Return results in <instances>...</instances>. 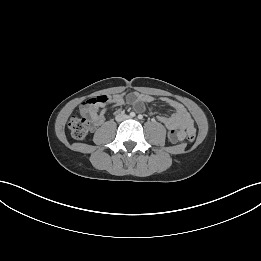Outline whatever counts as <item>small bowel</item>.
Listing matches in <instances>:
<instances>
[{
  "label": "small bowel",
  "instance_id": "small-bowel-1",
  "mask_svg": "<svg viewBox=\"0 0 261 261\" xmlns=\"http://www.w3.org/2000/svg\"><path fill=\"white\" fill-rule=\"evenodd\" d=\"M89 100L80 106V113L89 115L92 118L94 125L99 126L104 122V114L109 107L128 104L135 110L142 111L144 105L155 101V98L151 95L134 92L127 95L115 94L106 96L104 102L92 103ZM160 100L173 109V112L170 115L160 117V121L168 129L169 140L171 142L182 141L190 132L195 133L193 120L183 104L165 97Z\"/></svg>",
  "mask_w": 261,
  "mask_h": 261
}]
</instances>
